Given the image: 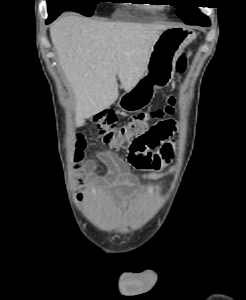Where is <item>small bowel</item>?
<instances>
[{"label": "small bowel", "instance_id": "small-bowel-1", "mask_svg": "<svg viewBox=\"0 0 246 300\" xmlns=\"http://www.w3.org/2000/svg\"><path fill=\"white\" fill-rule=\"evenodd\" d=\"M174 146L173 143H166L163 148L158 152L161 159V164L170 163L173 156ZM99 158L108 166V172L101 176L94 172L95 165L92 161H88L79 168L80 174L77 176V183L81 187L87 186L89 183L96 185H108L112 189L115 198L124 204L126 201L137 195L139 185L137 182L138 174L132 172L133 170H144L150 167H143L139 159L140 154L132 153L129 150L122 154L116 155L110 151H99L97 153ZM171 171V169L169 170ZM168 171V172H169ZM166 173H148L141 176L148 179H157L164 176Z\"/></svg>", "mask_w": 246, "mask_h": 300}]
</instances>
